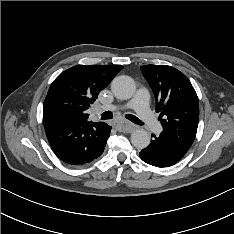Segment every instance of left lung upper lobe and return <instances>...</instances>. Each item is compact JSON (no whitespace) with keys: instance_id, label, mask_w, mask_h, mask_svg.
<instances>
[{"instance_id":"left-lung-upper-lobe-1","label":"left lung upper lobe","mask_w":234,"mask_h":234,"mask_svg":"<svg viewBox=\"0 0 234 234\" xmlns=\"http://www.w3.org/2000/svg\"><path fill=\"white\" fill-rule=\"evenodd\" d=\"M141 71L153 89L162 133L188 151L199 121L198 97L192 84L183 73L171 66L144 65Z\"/></svg>"}]
</instances>
